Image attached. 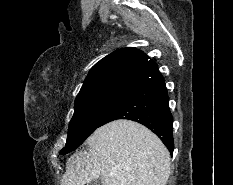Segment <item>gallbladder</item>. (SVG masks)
I'll list each match as a JSON object with an SVG mask.
<instances>
[{"mask_svg": "<svg viewBox=\"0 0 233 185\" xmlns=\"http://www.w3.org/2000/svg\"><path fill=\"white\" fill-rule=\"evenodd\" d=\"M87 185H103L102 184V181H101V179H96V180H93V181H91L89 184H87Z\"/></svg>", "mask_w": 233, "mask_h": 185, "instance_id": "bac80fb5", "label": "gallbladder"}]
</instances>
